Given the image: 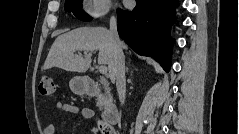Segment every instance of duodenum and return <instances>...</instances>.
Listing matches in <instances>:
<instances>
[{"mask_svg":"<svg viewBox=\"0 0 239 134\" xmlns=\"http://www.w3.org/2000/svg\"><path fill=\"white\" fill-rule=\"evenodd\" d=\"M84 85L89 95L97 94L98 86L97 82L93 78L87 77ZM102 119L104 124L107 126L111 127L115 125L119 120V111L117 107L114 105H108L103 112Z\"/></svg>","mask_w":239,"mask_h":134,"instance_id":"1","label":"duodenum"}]
</instances>
